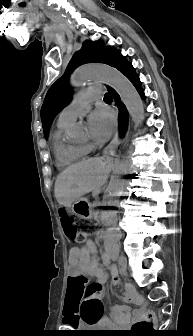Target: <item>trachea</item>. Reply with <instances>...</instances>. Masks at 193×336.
<instances>
[{"instance_id":"trachea-1","label":"trachea","mask_w":193,"mask_h":336,"mask_svg":"<svg viewBox=\"0 0 193 336\" xmlns=\"http://www.w3.org/2000/svg\"><path fill=\"white\" fill-rule=\"evenodd\" d=\"M104 100H105V101H107V100H112L111 95H110V94H106V95L104 96Z\"/></svg>"}]
</instances>
